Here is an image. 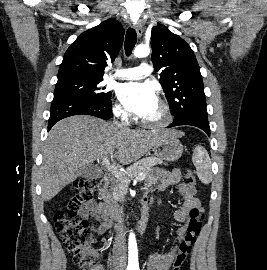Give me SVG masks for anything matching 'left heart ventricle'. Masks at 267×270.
<instances>
[{
    "mask_svg": "<svg viewBox=\"0 0 267 270\" xmlns=\"http://www.w3.org/2000/svg\"><path fill=\"white\" fill-rule=\"evenodd\" d=\"M160 118H161V110L158 104L150 113H148L145 117H143V119L147 121H157Z\"/></svg>",
    "mask_w": 267,
    "mask_h": 270,
    "instance_id": "b2bd125f",
    "label": "left heart ventricle"
}]
</instances>
